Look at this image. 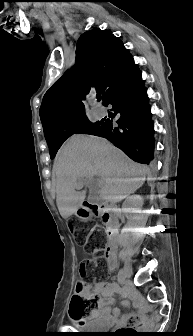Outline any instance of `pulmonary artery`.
<instances>
[{
	"mask_svg": "<svg viewBox=\"0 0 193 336\" xmlns=\"http://www.w3.org/2000/svg\"><path fill=\"white\" fill-rule=\"evenodd\" d=\"M95 111L99 115H104V109H102V108H96Z\"/></svg>",
	"mask_w": 193,
	"mask_h": 336,
	"instance_id": "1",
	"label": "pulmonary artery"
}]
</instances>
